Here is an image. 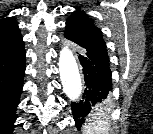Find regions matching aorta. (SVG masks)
<instances>
[{
	"instance_id": "762f6f07",
	"label": "aorta",
	"mask_w": 153,
	"mask_h": 134,
	"mask_svg": "<svg viewBox=\"0 0 153 134\" xmlns=\"http://www.w3.org/2000/svg\"><path fill=\"white\" fill-rule=\"evenodd\" d=\"M58 65L64 93L70 100H77L82 94V80L74 54L68 46L60 51Z\"/></svg>"
}]
</instances>
